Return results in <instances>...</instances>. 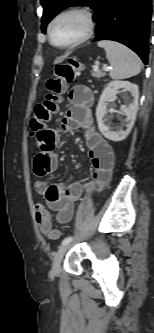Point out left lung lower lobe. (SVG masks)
Segmentation results:
<instances>
[{"label": "left lung lower lobe", "mask_w": 154, "mask_h": 333, "mask_svg": "<svg viewBox=\"0 0 154 333\" xmlns=\"http://www.w3.org/2000/svg\"><path fill=\"white\" fill-rule=\"evenodd\" d=\"M97 22L93 41L113 40L136 52L148 62L151 0H100L94 8Z\"/></svg>", "instance_id": "obj_1"}]
</instances>
